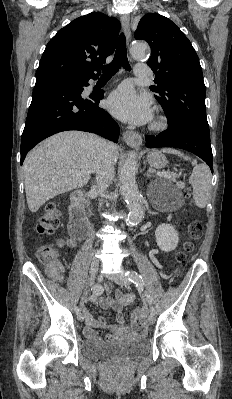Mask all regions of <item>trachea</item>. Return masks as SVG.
<instances>
[{
  "mask_svg": "<svg viewBox=\"0 0 232 399\" xmlns=\"http://www.w3.org/2000/svg\"><path fill=\"white\" fill-rule=\"evenodd\" d=\"M121 67L128 71L131 69L127 59L126 41L123 33H121L118 38L117 48L112 62L102 67L103 73L101 77H112Z\"/></svg>",
  "mask_w": 232,
  "mask_h": 399,
  "instance_id": "1",
  "label": "trachea"
}]
</instances>
